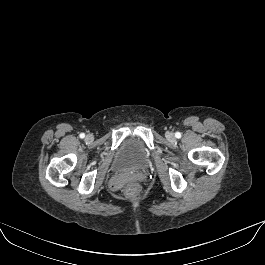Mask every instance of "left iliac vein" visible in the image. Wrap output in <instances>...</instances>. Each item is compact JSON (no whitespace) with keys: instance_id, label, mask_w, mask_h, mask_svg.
Returning a JSON list of instances; mask_svg holds the SVG:
<instances>
[{"instance_id":"obj_1","label":"left iliac vein","mask_w":265,"mask_h":265,"mask_svg":"<svg viewBox=\"0 0 265 265\" xmlns=\"http://www.w3.org/2000/svg\"><path fill=\"white\" fill-rule=\"evenodd\" d=\"M166 137H167V139L168 140H174V134L172 133V132H168L167 134H166Z\"/></svg>"}]
</instances>
